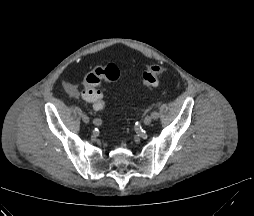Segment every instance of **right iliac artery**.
Masks as SVG:
<instances>
[{
    "label": "right iliac artery",
    "mask_w": 254,
    "mask_h": 216,
    "mask_svg": "<svg viewBox=\"0 0 254 216\" xmlns=\"http://www.w3.org/2000/svg\"><path fill=\"white\" fill-rule=\"evenodd\" d=\"M93 123L95 124V125H101L102 124V120L101 119H99V118H94L93 119Z\"/></svg>",
    "instance_id": "82829eb1"
}]
</instances>
